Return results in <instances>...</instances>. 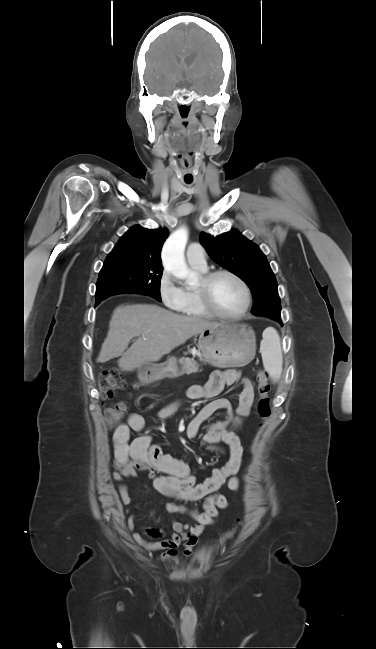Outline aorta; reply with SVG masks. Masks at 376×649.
Listing matches in <instances>:
<instances>
[{
	"instance_id": "obj_1",
	"label": "aorta",
	"mask_w": 376,
	"mask_h": 649,
	"mask_svg": "<svg viewBox=\"0 0 376 649\" xmlns=\"http://www.w3.org/2000/svg\"><path fill=\"white\" fill-rule=\"evenodd\" d=\"M188 240L185 228L176 230L165 242L162 250V263L166 270L176 278L186 280L189 284L196 281V273L188 269L184 251Z\"/></svg>"
}]
</instances>
